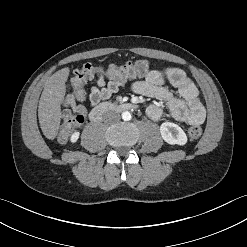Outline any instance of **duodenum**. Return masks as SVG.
Masks as SVG:
<instances>
[{"mask_svg": "<svg viewBox=\"0 0 247 247\" xmlns=\"http://www.w3.org/2000/svg\"><path fill=\"white\" fill-rule=\"evenodd\" d=\"M135 108V105L129 102L125 103H111L104 102L92 109L89 118L93 122L101 120L104 114L112 111H128Z\"/></svg>", "mask_w": 247, "mask_h": 247, "instance_id": "duodenum-1", "label": "duodenum"}]
</instances>
